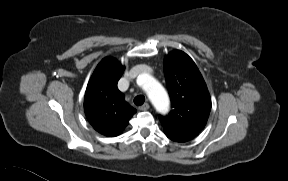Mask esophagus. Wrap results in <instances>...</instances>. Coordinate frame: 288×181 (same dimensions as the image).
<instances>
[{
    "label": "esophagus",
    "instance_id": "obj_1",
    "mask_svg": "<svg viewBox=\"0 0 288 181\" xmlns=\"http://www.w3.org/2000/svg\"><path fill=\"white\" fill-rule=\"evenodd\" d=\"M149 104L148 103H144L143 105H141L140 107H139V110H141V111H146V110H148L149 109Z\"/></svg>",
    "mask_w": 288,
    "mask_h": 181
}]
</instances>
